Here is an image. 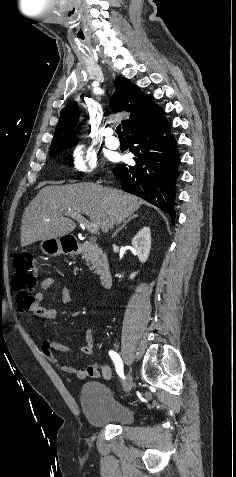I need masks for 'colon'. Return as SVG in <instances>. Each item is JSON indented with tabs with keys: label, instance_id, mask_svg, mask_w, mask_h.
I'll return each instance as SVG.
<instances>
[{
	"label": "colon",
	"instance_id": "colon-1",
	"mask_svg": "<svg viewBox=\"0 0 236 477\" xmlns=\"http://www.w3.org/2000/svg\"><path fill=\"white\" fill-rule=\"evenodd\" d=\"M15 272L13 275V286L17 291L18 306H25L31 301L29 291L38 282L39 270L32 254L24 252L16 256L14 260Z\"/></svg>",
	"mask_w": 236,
	"mask_h": 477
}]
</instances>
